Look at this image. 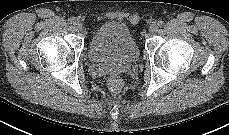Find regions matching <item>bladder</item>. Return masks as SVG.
<instances>
[{"label":"bladder","mask_w":229,"mask_h":135,"mask_svg":"<svg viewBox=\"0 0 229 135\" xmlns=\"http://www.w3.org/2000/svg\"><path fill=\"white\" fill-rule=\"evenodd\" d=\"M88 56L95 63H134L139 59V48L129 28L113 21L102 24L93 33L88 43Z\"/></svg>","instance_id":"1"}]
</instances>
